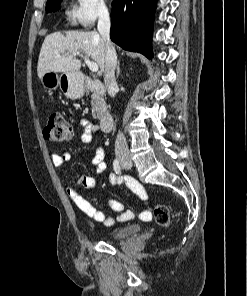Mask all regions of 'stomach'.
<instances>
[{
	"label": "stomach",
	"instance_id": "obj_1",
	"mask_svg": "<svg viewBox=\"0 0 247 296\" xmlns=\"http://www.w3.org/2000/svg\"><path fill=\"white\" fill-rule=\"evenodd\" d=\"M43 87L50 91H54L59 86L61 91L71 99L80 98L84 93L83 83L77 73H62L58 75L56 72H46L40 78Z\"/></svg>",
	"mask_w": 247,
	"mask_h": 296
}]
</instances>
